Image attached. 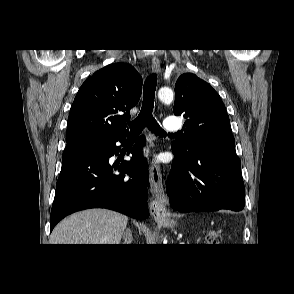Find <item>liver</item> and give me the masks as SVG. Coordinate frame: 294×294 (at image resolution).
I'll return each instance as SVG.
<instances>
[{"instance_id":"liver-1","label":"liver","mask_w":294,"mask_h":294,"mask_svg":"<svg viewBox=\"0 0 294 294\" xmlns=\"http://www.w3.org/2000/svg\"><path fill=\"white\" fill-rule=\"evenodd\" d=\"M128 217L107 209H89L62 220L50 244H119Z\"/></svg>"}]
</instances>
